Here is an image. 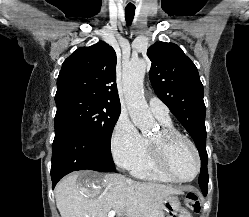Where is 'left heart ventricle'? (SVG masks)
<instances>
[{
    "label": "left heart ventricle",
    "mask_w": 249,
    "mask_h": 217,
    "mask_svg": "<svg viewBox=\"0 0 249 217\" xmlns=\"http://www.w3.org/2000/svg\"><path fill=\"white\" fill-rule=\"evenodd\" d=\"M159 132L151 137L157 140ZM169 164L172 171L181 178L191 177L196 170V159L191 147L183 140L174 141L169 148Z\"/></svg>",
    "instance_id": "obj_1"
}]
</instances>
